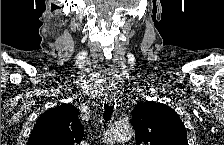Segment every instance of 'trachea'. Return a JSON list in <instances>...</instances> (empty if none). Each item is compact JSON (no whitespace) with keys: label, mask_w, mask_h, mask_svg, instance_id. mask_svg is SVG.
I'll return each mask as SVG.
<instances>
[{"label":"trachea","mask_w":224,"mask_h":145,"mask_svg":"<svg viewBox=\"0 0 224 145\" xmlns=\"http://www.w3.org/2000/svg\"><path fill=\"white\" fill-rule=\"evenodd\" d=\"M113 102L109 103L105 101L104 104V114H103V118L105 121H108L113 113V109H114V104H112Z\"/></svg>","instance_id":"obj_1"}]
</instances>
